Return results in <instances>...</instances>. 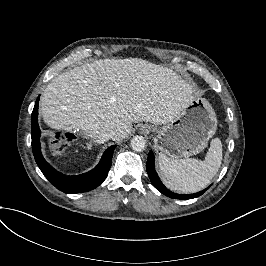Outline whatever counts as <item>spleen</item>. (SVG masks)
I'll return each mask as SVG.
<instances>
[{
    "label": "spleen",
    "instance_id": "3e777b00",
    "mask_svg": "<svg viewBox=\"0 0 266 266\" xmlns=\"http://www.w3.org/2000/svg\"><path fill=\"white\" fill-rule=\"evenodd\" d=\"M222 158V143L219 138L212 139L203 161L194 158L172 159L160 153V176L166 187L172 191L195 193L210 183L221 166Z\"/></svg>",
    "mask_w": 266,
    "mask_h": 266
}]
</instances>
